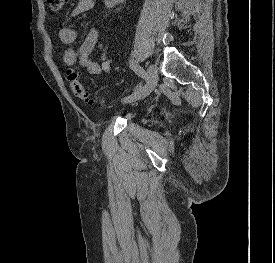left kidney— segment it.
Instances as JSON below:
<instances>
[{
    "instance_id": "left-kidney-1",
    "label": "left kidney",
    "mask_w": 275,
    "mask_h": 263,
    "mask_svg": "<svg viewBox=\"0 0 275 263\" xmlns=\"http://www.w3.org/2000/svg\"><path fill=\"white\" fill-rule=\"evenodd\" d=\"M104 1H105V5H106L108 8H112V7H114L115 5H117L118 3L124 2V0H104Z\"/></svg>"
}]
</instances>
